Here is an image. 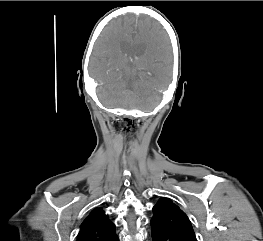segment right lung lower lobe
<instances>
[{"label": "right lung lower lobe", "mask_w": 263, "mask_h": 241, "mask_svg": "<svg viewBox=\"0 0 263 241\" xmlns=\"http://www.w3.org/2000/svg\"><path fill=\"white\" fill-rule=\"evenodd\" d=\"M114 241H119V239H118V237H117V236L115 237Z\"/></svg>", "instance_id": "obj_1"}]
</instances>
